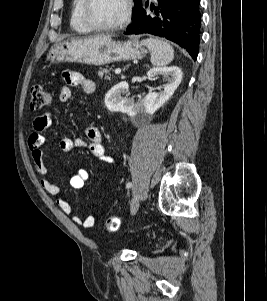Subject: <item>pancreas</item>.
<instances>
[{
    "label": "pancreas",
    "instance_id": "pancreas-1",
    "mask_svg": "<svg viewBox=\"0 0 267 301\" xmlns=\"http://www.w3.org/2000/svg\"><path fill=\"white\" fill-rule=\"evenodd\" d=\"M112 68L110 67H106V68H100V70L98 71V75H99V77L100 78H103V77H105L106 79H108V80H110L111 79V77L109 76V74H110V70H111Z\"/></svg>",
    "mask_w": 267,
    "mask_h": 301
}]
</instances>
